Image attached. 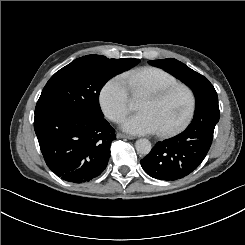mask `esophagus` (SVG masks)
Returning <instances> with one entry per match:
<instances>
[{"label": "esophagus", "mask_w": 245, "mask_h": 245, "mask_svg": "<svg viewBox=\"0 0 245 245\" xmlns=\"http://www.w3.org/2000/svg\"><path fill=\"white\" fill-rule=\"evenodd\" d=\"M117 138H126V139H129V140L135 139L134 136L126 135V134H123V133H117Z\"/></svg>", "instance_id": "esophagus-1"}]
</instances>
